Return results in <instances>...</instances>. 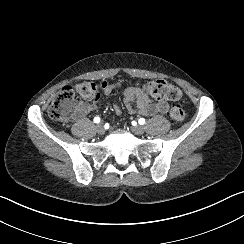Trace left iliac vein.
I'll return each mask as SVG.
<instances>
[{"mask_svg":"<svg viewBox=\"0 0 244 244\" xmlns=\"http://www.w3.org/2000/svg\"><path fill=\"white\" fill-rule=\"evenodd\" d=\"M132 132L137 135V136H140V135H143L144 132H145V129L143 126H140V125H136V126H133L132 127Z\"/></svg>","mask_w":244,"mask_h":244,"instance_id":"4c4485c4","label":"left iliac vein"}]
</instances>
